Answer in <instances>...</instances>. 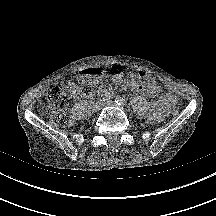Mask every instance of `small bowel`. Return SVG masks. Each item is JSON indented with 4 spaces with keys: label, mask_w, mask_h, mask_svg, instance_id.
Listing matches in <instances>:
<instances>
[{
    "label": "small bowel",
    "mask_w": 216,
    "mask_h": 216,
    "mask_svg": "<svg viewBox=\"0 0 216 216\" xmlns=\"http://www.w3.org/2000/svg\"><path fill=\"white\" fill-rule=\"evenodd\" d=\"M115 81L126 83L132 91L153 99L149 113V120L153 122L161 120L175 100V97L171 94H162L159 85L144 73L129 72L126 76H117ZM82 94L83 92L78 89L75 98Z\"/></svg>",
    "instance_id": "small-bowel-1"
}]
</instances>
